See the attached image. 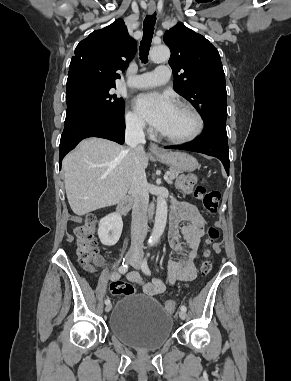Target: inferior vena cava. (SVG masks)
<instances>
[{
    "label": "inferior vena cava",
    "instance_id": "inferior-vena-cava-1",
    "mask_svg": "<svg viewBox=\"0 0 291 381\" xmlns=\"http://www.w3.org/2000/svg\"><path fill=\"white\" fill-rule=\"evenodd\" d=\"M125 142L130 148L132 161V180L129 194L134 204L131 223V246L130 254H142L143 242L147 230V209L149 194L147 192V180L141 158L144 152L145 135L143 124L137 120L126 124Z\"/></svg>",
    "mask_w": 291,
    "mask_h": 381
}]
</instances>
